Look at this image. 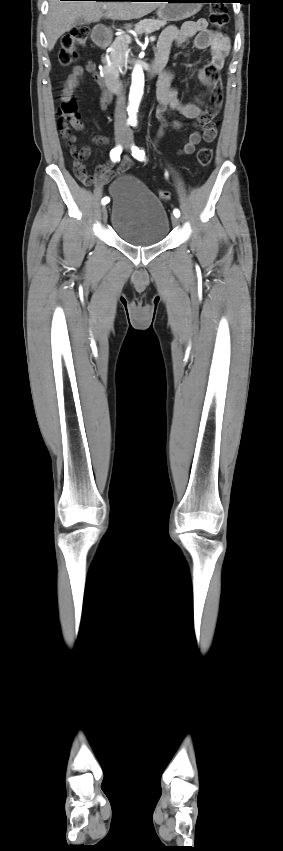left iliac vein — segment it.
<instances>
[{
	"label": "left iliac vein",
	"mask_w": 283,
	"mask_h": 851,
	"mask_svg": "<svg viewBox=\"0 0 283 851\" xmlns=\"http://www.w3.org/2000/svg\"><path fill=\"white\" fill-rule=\"evenodd\" d=\"M125 148H126V149H128V148H129V145H128V144H125ZM171 221H172V225H173L174 227H176V226H178V225H179V219H178V217H176V216H172V217H171Z\"/></svg>",
	"instance_id": "left-iliac-vein-1"
}]
</instances>
